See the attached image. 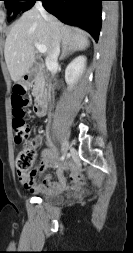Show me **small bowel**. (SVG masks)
I'll use <instances>...</instances> for the list:
<instances>
[{
    "instance_id": "small-bowel-1",
    "label": "small bowel",
    "mask_w": 133,
    "mask_h": 253,
    "mask_svg": "<svg viewBox=\"0 0 133 253\" xmlns=\"http://www.w3.org/2000/svg\"><path fill=\"white\" fill-rule=\"evenodd\" d=\"M41 145L42 138L36 137L34 146L41 147ZM40 156L39 165L32 170H18V179L26 189L34 193L64 190L67 187L64 176L66 170L71 172V188L77 189L81 186L84 181L83 176L70 161H59L56 152L48 148L42 149ZM48 168H55L59 182H54L51 175H46L41 181L38 180V175L43 174Z\"/></svg>"
}]
</instances>
